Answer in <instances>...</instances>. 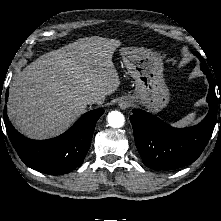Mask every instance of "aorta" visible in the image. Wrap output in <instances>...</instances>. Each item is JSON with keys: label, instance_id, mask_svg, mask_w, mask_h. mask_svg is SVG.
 Here are the masks:
<instances>
[{"label": "aorta", "instance_id": "1", "mask_svg": "<svg viewBox=\"0 0 221 221\" xmlns=\"http://www.w3.org/2000/svg\"><path fill=\"white\" fill-rule=\"evenodd\" d=\"M108 123L113 128H120L124 125V115L119 111H111L108 116Z\"/></svg>", "mask_w": 221, "mask_h": 221}]
</instances>
